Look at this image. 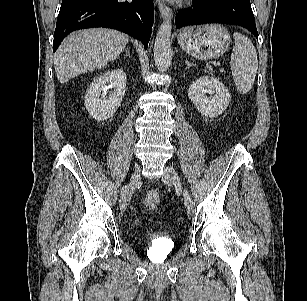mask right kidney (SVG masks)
<instances>
[{"mask_svg":"<svg viewBox=\"0 0 307 301\" xmlns=\"http://www.w3.org/2000/svg\"><path fill=\"white\" fill-rule=\"evenodd\" d=\"M127 78L122 69L107 71L93 80L85 95V107L96 120L102 121L113 116L121 104L126 91ZM113 88L109 97L102 95L101 91Z\"/></svg>","mask_w":307,"mask_h":301,"instance_id":"right-kidney-1","label":"right kidney"}]
</instances>
